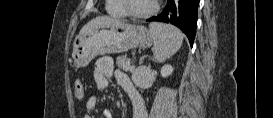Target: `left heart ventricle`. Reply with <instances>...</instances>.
I'll return each instance as SVG.
<instances>
[{"mask_svg":"<svg viewBox=\"0 0 273 118\" xmlns=\"http://www.w3.org/2000/svg\"><path fill=\"white\" fill-rule=\"evenodd\" d=\"M130 9L135 12H145L151 8L153 0H129Z\"/></svg>","mask_w":273,"mask_h":118,"instance_id":"obj_1","label":"left heart ventricle"}]
</instances>
